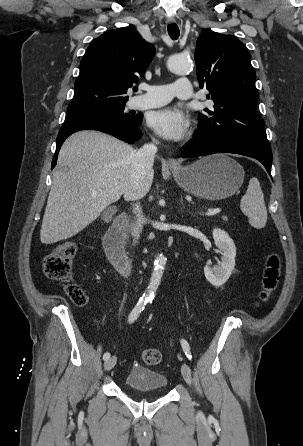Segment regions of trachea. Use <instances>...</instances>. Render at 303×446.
<instances>
[{
    "label": "trachea",
    "mask_w": 303,
    "mask_h": 446,
    "mask_svg": "<svg viewBox=\"0 0 303 446\" xmlns=\"http://www.w3.org/2000/svg\"><path fill=\"white\" fill-rule=\"evenodd\" d=\"M167 29H168V33H169L170 37L173 40L178 39V37H179V28H178V26L176 24H169Z\"/></svg>",
    "instance_id": "1"
}]
</instances>
